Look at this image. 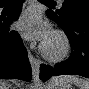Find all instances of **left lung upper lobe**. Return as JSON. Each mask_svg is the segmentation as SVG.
Instances as JSON below:
<instances>
[{
	"label": "left lung upper lobe",
	"mask_w": 89,
	"mask_h": 89,
	"mask_svg": "<svg viewBox=\"0 0 89 89\" xmlns=\"http://www.w3.org/2000/svg\"><path fill=\"white\" fill-rule=\"evenodd\" d=\"M62 24H68L79 15L89 16V0H65L60 10L55 13Z\"/></svg>",
	"instance_id": "1"
}]
</instances>
